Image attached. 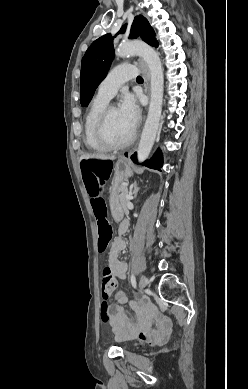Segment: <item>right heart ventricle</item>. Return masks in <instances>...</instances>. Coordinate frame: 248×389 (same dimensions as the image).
Here are the masks:
<instances>
[{
    "label": "right heart ventricle",
    "mask_w": 248,
    "mask_h": 389,
    "mask_svg": "<svg viewBox=\"0 0 248 389\" xmlns=\"http://www.w3.org/2000/svg\"><path fill=\"white\" fill-rule=\"evenodd\" d=\"M109 100L97 95L90 103L89 109L85 116L84 121V142L86 146L95 151H106L107 149L102 146L96 139L95 130L99 120V117L108 104Z\"/></svg>",
    "instance_id": "1"
}]
</instances>
